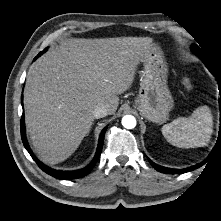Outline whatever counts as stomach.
I'll use <instances>...</instances> for the list:
<instances>
[{"mask_svg":"<svg viewBox=\"0 0 221 221\" xmlns=\"http://www.w3.org/2000/svg\"><path fill=\"white\" fill-rule=\"evenodd\" d=\"M143 80L135 106L153 123L166 121L174 101L167 85L168 66L161 49L154 44L143 58Z\"/></svg>","mask_w":221,"mask_h":221,"instance_id":"0dacf381","label":"stomach"}]
</instances>
